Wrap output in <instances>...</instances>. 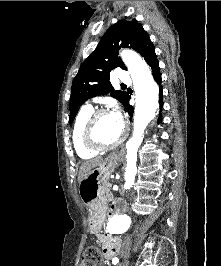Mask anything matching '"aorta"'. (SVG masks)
<instances>
[{
    "instance_id": "obj_1",
    "label": "aorta",
    "mask_w": 221,
    "mask_h": 266,
    "mask_svg": "<svg viewBox=\"0 0 221 266\" xmlns=\"http://www.w3.org/2000/svg\"><path fill=\"white\" fill-rule=\"evenodd\" d=\"M121 58L131 75L136 95L133 135L126 143L125 187L131 188L137 173V152L143 141L144 131L154 119L159 106V87L148 65L137 53L124 50L121 52ZM130 223L126 214L115 215L109 220L107 229L112 234L123 233L130 227Z\"/></svg>"
}]
</instances>
